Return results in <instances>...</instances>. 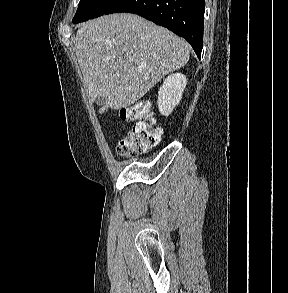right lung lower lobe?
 <instances>
[{"label":"right lung lower lobe","instance_id":"98d812e1","mask_svg":"<svg viewBox=\"0 0 288 293\" xmlns=\"http://www.w3.org/2000/svg\"><path fill=\"white\" fill-rule=\"evenodd\" d=\"M205 0H120L105 14L140 15L185 38L200 59L203 47Z\"/></svg>","mask_w":288,"mask_h":293}]
</instances>
